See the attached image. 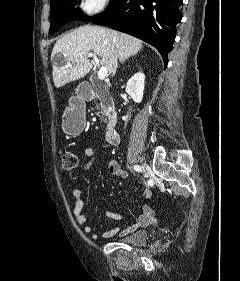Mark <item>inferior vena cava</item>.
Listing matches in <instances>:
<instances>
[{"label":"inferior vena cava","instance_id":"602c4592","mask_svg":"<svg viewBox=\"0 0 240 281\" xmlns=\"http://www.w3.org/2000/svg\"><path fill=\"white\" fill-rule=\"evenodd\" d=\"M116 67H117L116 61H114V69H113V74H115V71H116Z\"/></svg>","mask_w":240,"mask_h":281}]
</instances>
